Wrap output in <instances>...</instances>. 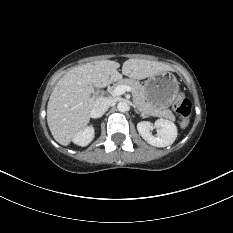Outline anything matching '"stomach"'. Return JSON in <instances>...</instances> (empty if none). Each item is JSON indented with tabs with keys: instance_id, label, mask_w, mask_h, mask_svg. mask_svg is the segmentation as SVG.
<instances>
[{
	"instance_id": "1",
	"label": "stomach",
	"mask_w": 233,
	"mask_h": 233,
	"mask_svg": "<svg viewBox=\"0 0 233 233\" xmlns=\"http://www.w3.org/2000/svg\"><path fill=\"white\" fill-rule=\"evenodd\" d=\"M147 102L159 109L171 106L179 93V82L174 74L163 71L148 77L144 83Z\"/></svg>"
}]
</instances>
